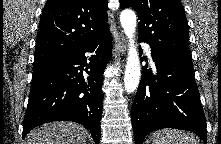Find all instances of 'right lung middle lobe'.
Returning <instances> with one entry per match:
<instances>
[{
    "instance_id": "right-lung-middle-lobe-1",
    "label": "right lung middle lobe",
    "mask_w": 221,
    "mask_h": 144,
    "mask_svg": "<svg viewBox=\"0 0 221 144\" xmlns=\"http://www.w3.org/2000/svg\"><path fill=\"white\" fill-rule=\"evenodd\" d=\"M59 55H52V54H42V55H35L34 57V64L33 68L46 64L52 60H54Z\"/></svg>"
}]
</instances>
